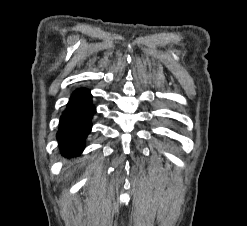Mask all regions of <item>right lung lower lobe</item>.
Instances as JSON below:
<instances>
[{
  "label": "right lung lower lobe",
  "mask_w": 247,
  "mask_h": 226,
  "mask_svg": "<svg viewBox=\"0 0 247 226\" xmlns=\"http://www.w3.org/2000/svg\"><path fill=\"white\" fill-rule=\"evenodd\" d=\"M87 89L73 92L67 108L60 118L57 139L63 155H79L84 149V139L91 130L95 108Z\"/></svg>",
  "instance_id": "1"
}]
</instances>
